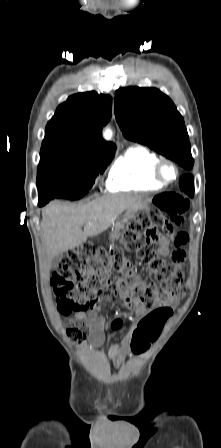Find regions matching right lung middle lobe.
<instances>
[{
  "mask_svg": "<svg viewBox=\"0 0 221 448\" xmlns=\"http://www.w3.org/2000/svg\"><path fill=\"white\" fill-rule=\"evenodd\" d=\"M113 157L114 153L88 155L68 148L41 150L37 174L39 199L82 198Z\"/></svg>",
  "mask_w": 221,
  "mask_h": 448,
  "instance_id": "obj_1",
  "label": "right lung middle lobe"
}]
</instances>
